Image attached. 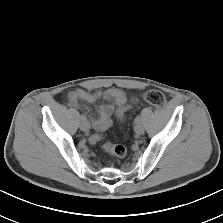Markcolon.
<instances>
[{
    "label": "colon",
    "mask_w": 223,
    "mask_h": 223,
    "mask_svg": "<svg viewBox=\"0 0 223 223\" xmlns=\"http://www.w3.org/2000/svg\"><path fill=\"white\" fill-rule=\"evenodd\" d=\"M143 99L145 100V102H147L149 105H151L155 108H162L165 105L164 95L161 92L156 91V90L146 91L143 94ZM117 115L119 118H123L124 109L123 108L119 109L117 111ZM101 139H102V137L98 134L93 135L91 138V140L93 142H97ZM104 148L106 151H108L109 153H111L112 155L117 156V157H124L127 154V149L123 145H114V144L106 142L104 144Z\"/></svg>",
    "instance_id": "obj_1"
}]
</instances>
